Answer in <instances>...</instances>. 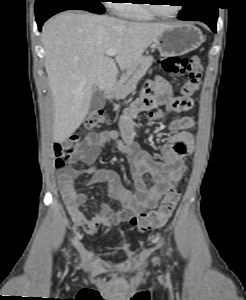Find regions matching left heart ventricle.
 Instances as JSON below:
<instances>
[{
  "label": "left heart ventricle",
  "instance_id": "1",
  "mask_svg": "<svg viewBox=\"0 0 246 300\" xmlns=\"http://www.w3.org/2000/svg\"><path fill=\"white\" fill-rule=\"evenodd\" d=\"M159 2L161 3H169V4H174V5H157L158 6V9L164 13V14H172L174 13L177 8H178V5H175V1H171V0H160Z\"/></svg>",
  "mask_w": 246,
  "mask_h": 300
}]
</instances>
